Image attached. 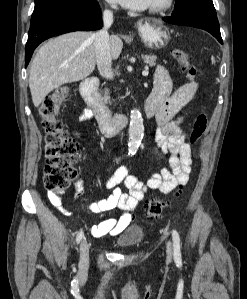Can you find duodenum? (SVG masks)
Listing matches in <instances>:
<instances>
[{"label": "duodenum", "mask_w": 247, "mask_h": 299, "mask_svg": "<svg viewBox=\"0 0 247 299\" xmlns=\"http://www.w3.org/2000/svg\"><path fill=\"white\" fill-rule=\"evenodd\" d=\"M98 79L88 78L80 86V93L86 104L92 110L100 130L106 136H112L124 128L129 117L123 113H112L105 101L98 93ZM157 108L147 101L142 112L145 118L150 119L156 115Z\"/></svg>", "instance_id": "410a0bca"}]
</instances>
